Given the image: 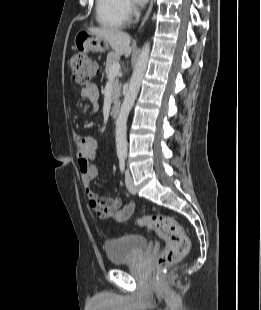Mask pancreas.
<instances>
[{
    "label": "pancreas",
    "instance_id": "obj_1",
    "mask_svg": "<svg viewBox=\"0 0 261 310\" xmlns=\"http://www.w3.org/2000/svg\"><path fill=\"white\" fill-rule=\"evenodd\" d=\"M119 55L116 54V53H109L107 55V61H106V66H105V73L107 75V77L109 78V71H110V68L111 66L114 64V63H118L119 62ZM112 86H113V91H112V101L113 103H117L118 100H119V97H120V87H119V80L118 78H115L113 83H112Z\"/></svg>",
    "mask_w": 261,
    "mask_h": 310
}]
</instances>
